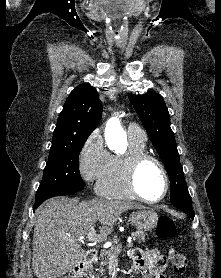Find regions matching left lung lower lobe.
Wrapping results in <instances>:
<instances>
[{
  "label": "left lung lower lobe",
  "instance_id": "0a47b994",
  "mask_svg": "<svg viewBox=\"0 0 221 278\" xmlns=\"http://www.w3.org/2000/svg\"><path fill=\"white\" fill-rule=\"evenodd\" d=\"M177 208L183 210L186 214H188L192 219H194V211L192 208V202H177L173 204Z\"/></svg>",
  "mask_w": 221,
  "mask_h": 278
}]
</instances>
